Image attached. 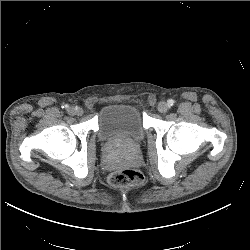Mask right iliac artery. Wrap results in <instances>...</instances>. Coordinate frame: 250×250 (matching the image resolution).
Masks as SVG:
<instances>
[{
	"instance_id": "right-iliac-artery-1",
	"label": "right iliac artery",
	"mask_w": 250,
	"mask_h": 250,
	"mask_svg": "<svg viewBox=\"0 0 250 250\" xmlns=\"http://www.w3.org/2000/svg\"><path fill=\"white\" fill-rule=\"evenodd\" d=\"M69 106L68 105H65V108H68Z\"/></svg>"
}]
</instances>
